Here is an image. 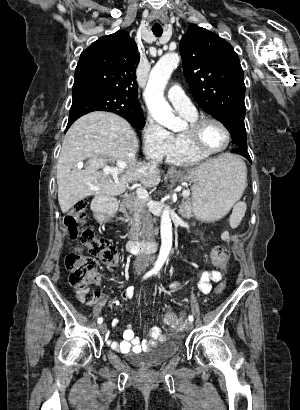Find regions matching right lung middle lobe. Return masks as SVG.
<instances>
[{
    "label": "right lung middle lobe",
    "instance_id": "dd1d6c3e",
    "mask_svg": "<svg viewBox=\"0 0 300 410\" xmlns=\"http://www.w3.org/2000/svg\"><path fill=\"white\" fill-rule=\"evenodd\" d=\"M72 106L67 128L80 116L97 110L110 111L124 117L132 126L142 128L145 120L142 112L125 115L122 112L123 101L114 93L91 84L73 85Z\"/></svg>",
    "mask_w": 300,
    "mask_h": 410
}]
</instances>
